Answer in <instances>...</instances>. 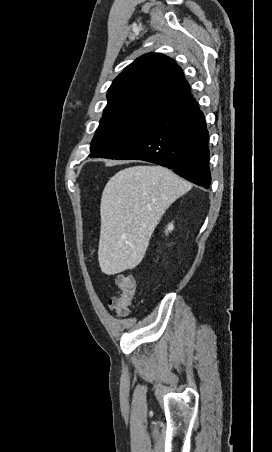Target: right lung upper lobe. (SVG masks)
<instances>
[{
	"label": "right lung upper lobe",
	"mask_w": 272,
	"mask_h": 452,
	"mask_svg": "<svg viewBox=\"0 0 272 452\" xmlns=\"http://www.w3.org/2000/svg\"><path fill=\"white\" fill-rule=\"evenodd\" d=\"M107 98L103 117L130 111L170 113L193 99L181 68L157 53L145 54L128 65L112 82Z\"/></svg>",
	"instance_id": "cb5924a9"
}]
</instances>
